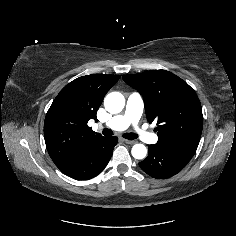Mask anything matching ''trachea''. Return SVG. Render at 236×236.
Wrapping results in <instances>:
<instances>
[{
  "mask_svg": "<svg viewBox=\"0 0 236 236\" xmlns=\"http://www.w3.org/2000/svg\"><path fill=\"white\" fill-rule=\"evenodd\" d=\"M102 133L104 136H112L113 135V132L110 129H104ZM122 136L125 139H129V140H134V139H137V137H138L134 133H124Z\"/></svg>",
  "mask_w": 236,
  "mask_h": 236,
  "instance_id": "obj_1",
  "label": "trachea"
}]
</instances>
